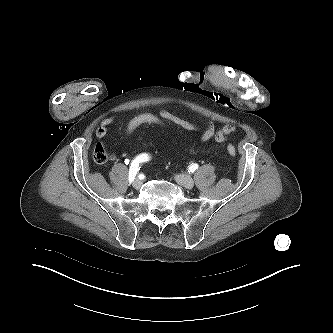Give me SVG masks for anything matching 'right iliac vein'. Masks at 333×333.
Segmentation results:
<instances>
[{
  "mask_svg": "<svg viewBox=\"0 0 333 333\" xmlns=\"http://www.w3.org/2000/svg\"><path fill=\"white\" fill-rule=\"evenodd\" d=\"M142 185V181L138 178H136L133 182V187L136 188V189H139Z\"/></svg>",
  "mask_w": 333,
  "mask_h": 333,
  "instance_id": "63e3f726",
  "label": "right iliac vein"
}]
</instances>
